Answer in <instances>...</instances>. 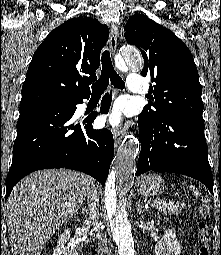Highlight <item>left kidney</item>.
<instances>
[{
    "label": "left kidney",
    "mask_w": 221,
    "mask_h": 255,
    "mask_svg": "<svg viewBox=\"0 0 221 255\" xmlns=\"http://www.w3.org/2000/svg\"><path fill=\"white\" fill-rule=\"evenodd\" d=\"M156 255H180L181 246L174 230H165L164 236L155 245Z\"/></svg>",
    "instance_id": "obj_1"
}]
</instances>
